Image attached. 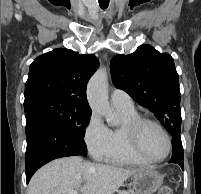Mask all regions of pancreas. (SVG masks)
<instances>
[{"label": "pancreas", "mask_w": 201, "mask_h": 194, "mask_svg": "<svg viewBox=\"0 0 201 194\" xmlns=\"http://www.w3.org/2000/svg\"><path fill=\"white\" fill-rule=\"evenodd\" d=\"M121 194H135L134 192L124 191Z\"/></svg>", "instance_id": "obj_1"}]
</instances>
